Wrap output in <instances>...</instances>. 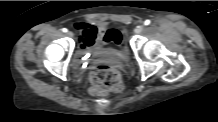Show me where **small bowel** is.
I'll return each mask as SVG.
<instances>
[{"label": "small bowel", "mask_w": 218, "mask_h": 122, "mask_svg": "<svg viewBox=\"0 0 218 122\" xmlns=\"http://www.w3.org/2000/svg\"><path fill=\"white\" fill-rule=\"evenodd\" d=\"M74 28L79 32V46L81 50H85L90 47H99L102 42L103 28H97L93 24L84 22L74 23ZM125 45L126 38L124 37L122 46L117 49H122Z\"/></svg>", "instance_id": "1"}]
</instances>
